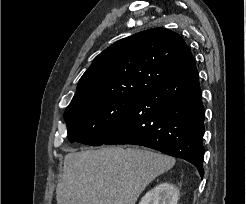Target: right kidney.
Returning a JSON list of instances; mask_svg holds the SVG:
<instances>
[{"instance_id": "right-kidney-1", "label": "right kidney", "mask_w": 246, "mask_h": 204, "mask_svg": "<svg viewBox=\"0 0 246 204\" xmlns=\"http://www.w3.org/2000/svg\"><path fill=\"white\" fill-rule=\"evenodd\" d=\"M178 199L177 188L173 184L165 182L148 191L139 204H177Z\"/></svg>"}]
</instances>
